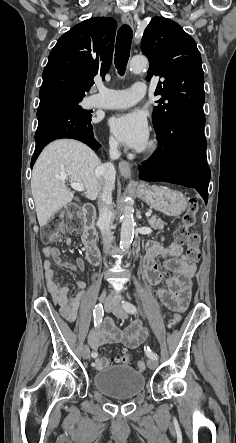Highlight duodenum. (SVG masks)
<instances>
[{"label":"duodenum","mask_w":236,"mask_h":443,"mask_svg":"<svg viewBox=\"0 0 236 443\" xmlns=\"http://www.w3.org/2000/svg\"><path fill=\"white\" fill-rule=\"evenodd\" d=\"M83 217L85 219V228L82 235V245L86 250L87 260L92 265L99 264V250L95 245L97 235L94 229L93 221L96 217V209L92 205H86L83 208Z\"/></svg>","instance_id":"obj_1"}]
</instances>
